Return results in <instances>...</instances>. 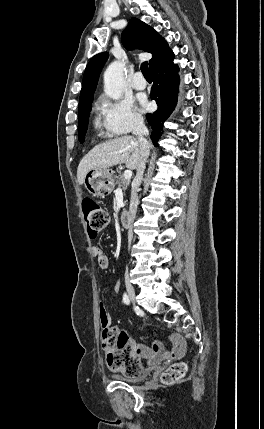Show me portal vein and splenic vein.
I'll return each instance as SVG.
<instances>
[{"label":"portal vein and splenic vein","mask_w":264,"mask_h":429,"mask_svg":"<svg viewBox=\"0 0 264 429\" xmlns=\"http://www.w3.org/2000/svg\"><path fill=\"white\" fill-rule=\"evenodd\" d=\"M124 178L125 179H128V180H130L131 179V177H132V170H130V169H128V170H125V172H124Z\"/></svg>","instance_id":"portal-vein-and-splenic-vein-1"}]
</instances>
